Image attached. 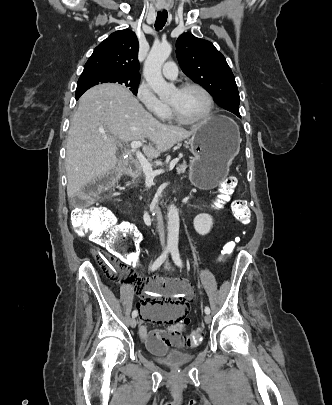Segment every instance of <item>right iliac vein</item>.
<instances>
[{"label": "right iliac vein", "instance_id": "right-iliac-vein-1", "mask_svg": "<svg viewBox=\"0 0 332 405\" xmlns=\"http://www.w3.org/2000/svg\"><path fill=\"white\" fill-rule=\"evenodd\" d=\"M136 325H137V320H136L134 317L131 318V319H130V326H131L132 328H135Z\"/></svg>", "mask_w": 332, "mask_h": 405}]
</instances>
